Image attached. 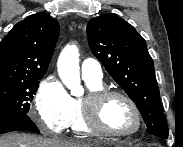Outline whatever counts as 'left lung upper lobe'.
Wrapping results in <instances>:
<instances>
[{
    "label": "left lung upper lobe",
    "instance_id": "obj_1",
    "mask_svg": "<svg viewBox=\"0 0 183 147\" xmlns=\"http://www.w3.org/2000/svg\"><path fill=\"white\" fill-rule=\"evenodd\" d=\"M87 36L93 54L136 103L147 132L167 139L168 127L160 105L154 63L145 40L132 25L115 14L91 19Z\"/></svg>",
    "mask_w": 183,
    "mask_h": 147
}]
</instances>
